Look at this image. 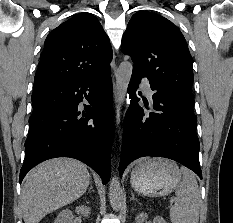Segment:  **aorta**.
<instances>
[{"mask_svg": "<svg viewBox=\"0 0 233 223\" xmlns=\"http://www.w3.org/2000/svg\"><path fill=\"white\" fill-rule=\"evenodd\" d=\"M132 70L133 68L130 62H122V64H120L117 70L116 90H117L119 106L120 104H123L125 100V94L127 92L128 84L130 82ZM122 197H123V191H122L121 183L119 181V177H117V175H113V177H111V181L109 185V199L114 209H117V207H119Z\"/></svg>", "mask_w": 233, "mask_h": 223, "instance_id": "1", "label": "aorta"}]
</instances>
